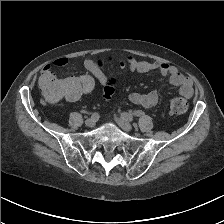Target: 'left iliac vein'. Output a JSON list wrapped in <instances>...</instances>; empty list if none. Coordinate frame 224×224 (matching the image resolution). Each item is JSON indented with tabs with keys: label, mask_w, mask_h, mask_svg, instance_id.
Returning <instances> with one entry per match:
<instances>
[{
	"label": "left iliac vein",
	"mask_w": 224,
	"mask_h": 224,
	"mask_svg": "<svg viewBox=\"0 0 224 224\" xmlns=\"http://www.w3.org/2000/svg\"><path fill=\"white\" fill-rule=\"evenodd\" d=\"M115 121L124 131L130 132L132 130V125L126 119L119 117Z\"/></svg>",
	"instance_id": "4c4485c4"
}]
</instances>
